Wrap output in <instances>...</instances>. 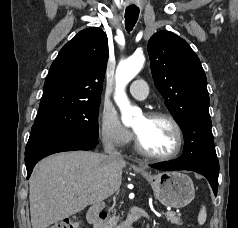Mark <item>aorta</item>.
I'll use <instances>...</instances> for the list:
<instances>
[{
  "label": "aorta",
  "mask_w": 238,
  "mask_h": 228,
  "mask_svg": "<svg viewBox=\"0 0 238 228\" xmlns=\"http://www.w3.org/2000/svg\"><path fill=\"white\" fill-rule=\"evenodd\" d=\"M144 62L143 54H133L126 60L121 61L116 69L114 100L121 111V120L125 125L130 124L133 116L139 113V109L130 104L125 93V87L139 73Z\"/></svg>",
  "instance_id": "1"
}]
</instances>
